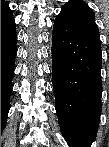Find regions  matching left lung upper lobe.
I'll list each match as a JSON object with an SVG mask.
<instances>
[{
    "label": "left lung upper lobe",
    "instance_id": "1",
    "mask_svg": "<svg viewBox=\"0 0 109 147\" xmlns=\"http://www.w3.org/2000/svg\"><path fill=\"white\" fill-rule=\"evenodd\" d=\"M70 2L77 3L78 5L84 7L86 10H88L89 12L93 14V11L85 4V2L81 0H75V1H70Z\"/></svg>",
    "mask_w": 109,
    "mask_h": 147
}]
</instances>
